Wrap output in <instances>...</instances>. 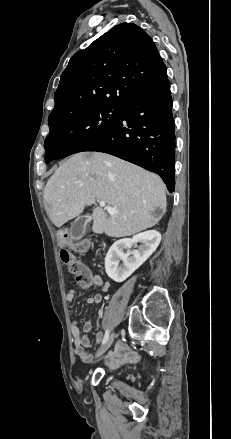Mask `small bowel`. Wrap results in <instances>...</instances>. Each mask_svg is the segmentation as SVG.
<instances>
[{
    "mask_svg": "<svg viewBox=\"0 0 231 439\" xmlns=\"http://www.w3.org/2000/svg\"><path fill=\"white\" fill-rule=\"evenodd\" d=\"M88 287L101 289L102 292H108L110 289V283L103 280L98 274H91V282ZM87 287V288H88ZM76 297V289H71L66 294V301L68 304L72 303ZM102 301V294L95 293L87 298L88 304H98ZM92 324L90 321H86L83 325L82 331L79 327V322L75 319L70 322V330L74 342L75 352L84 363H89L92 359L91 354L88 352L90 346V340L87 334L91 331ZM102 339V332H97L95 340L100 342ZM139 359L138 353L129 349L125 344L120 343L114 352H110L107 356V362L112 367H118L124 363L135 362Z\"/></svg>",
    "mask_w": 231,
    "mask_h": 439,
    "instance_id": "obj_1",
    "label": "small bowel"
}]
</instances>
